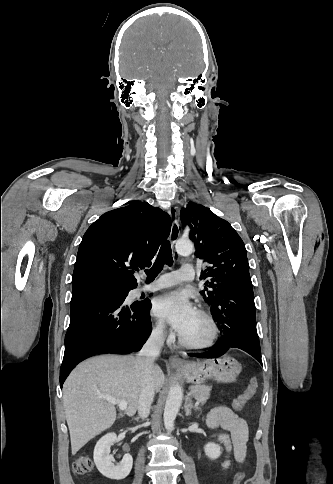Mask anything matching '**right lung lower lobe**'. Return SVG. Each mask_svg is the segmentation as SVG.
Segmentation results:
<instances>
[{
	"instance_id": "98d812e1",
	"label": "right lung lower lobe",
	"mask_w": 333,
	"mask_h": 484,
	"mask_svg": "<svg viewBox=\"0 0 333 484\" xmlns=\"http://www.w3.org/2000/svg\"><path fill=\"white\" fill-rule=\"evenodd\" d=\"M127 295L126 291L102 287L73 290L61 387L72 369L90 356L129 354L142 348L152 331L150 303L122 305Z\"/></svg>"
}]
</instances>
